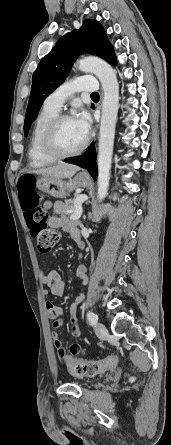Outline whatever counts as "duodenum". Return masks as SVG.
Returning a JSON list of instances; mask_svg holds the SVG:
<instances>
[{
  "label": "duodenum",
  "instance_id": "duodenum-1",
  "mask_svg": "<svg viewBox=\"0 0 171 445\" xmlns=\"http://www.w3.org/2000/svg\"><path fill=\"white\" fill-rule=\"evenodd\" d=\"M75 240H76V243L78 244V246H80V247L83 246V241L80 238V236H75Z\"/></svg>",
  "mask_w": 171,
  "mask_h": 445
}]
</instances>
